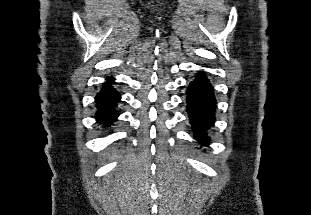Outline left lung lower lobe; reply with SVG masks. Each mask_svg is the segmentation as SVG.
Listing matches in <instances>:
<instances>
[{
    "mask_svg": "<svg viewBox=\"0 0 311 215\" xmlns=\"http://www.w3.org/2000/svg\"><path fill=\"white\" fill-rule=\"evenodd\" d=\"M187 112L195 138L201 143L209 141L205 130L214 122V90L208 79L200 72L187 90Z\"/></svg>",
    "mask_w": 311,
    "mask_h": 215,
    "instance_id": "left-lung-lower-lobe-1",
    "label": "left lung lower lobe"
}]
</instances>
